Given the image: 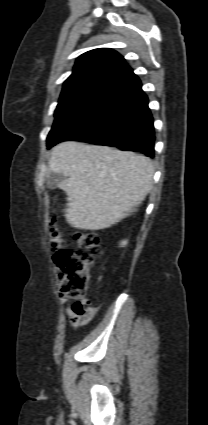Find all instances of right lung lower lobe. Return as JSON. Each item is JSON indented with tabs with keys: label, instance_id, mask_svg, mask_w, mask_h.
<instances>
[{
	"label": "right lung lower lobe",
	"instance_id": "1",
	"mask_svg": "<svg viewBox=\"0 0 208 425\" xmlns=\"http://www.w3.org/2000/svg\"><path fill=\"white\" fill-rule=\"evenodd\" d=\"M49 135L55 140L52 146L83 141L154 157L153 117L141 81L131 68L95 99L66 114Z\"/></svg>",
	"mask_w": 208,
	"mask_h": 425
}]
</instances>
